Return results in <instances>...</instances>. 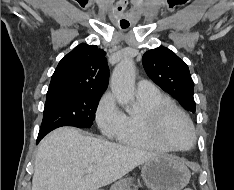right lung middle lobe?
<instances>
[{
    "instance_id": "obj_1",
    "label": "right lung middle lobe",
    "mask_w": 234,
    "mask_h": 190,
    "mask_svg": "<svg viewBox=\"0 0 234 190\" xmlns=\"http://www.w3.org/2000/svg\"><path fill=\"white\" fill-rule=\"evenodd\" d=\"M100 96L66 90H48L39 135L45 136L61 126L91 127Z\"/></svg>"
}]
</instances>
